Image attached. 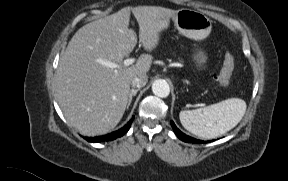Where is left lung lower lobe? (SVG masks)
<instances>
[{"label": "left lung lower lobe", "instance_id": "left-lung-lower-lobe-1", "mask_svg": "<svg viewBox=\"0 0 288 181\" xmlns=\"http://www.w3.org/2000/svg\"><path fill=\"white\" fill-rule=\"evenodd\" d=\"M171 126L175 132V134L177 135V137L184 141V142H187V143H198V144H203V143H207V142H210V141H201V140H198V139H195V138H192L186 134H184L182 131H180L175 123L173 121H171Z\"/></svg>", "mask_w": 288, "mask_h": 181}]
</instances>
